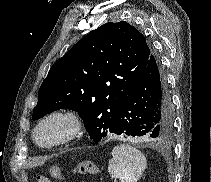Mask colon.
Listing matches in <instances>:
<instances>
[{"instance_id": "obj_1", "label": "colon", "mask_w": 211, "mask_h": 182, "mask_svg": "<svg viewBox=\"0 0 211 182\" xmlns=\"http://www.w3.org/2000/svg\"><path fill=\"white\" fill-rule=\"evenodd\" d=\"M74 174H80V175H96L98 173V168L96 164L93 161H83L80 162L73 171ZM50 176L55 179H63L64 175L60 171L58 167H51L50 169ZM37 182H51L50 178L46 175H39L37 177Z\"/></svg>"}]
</instances>
